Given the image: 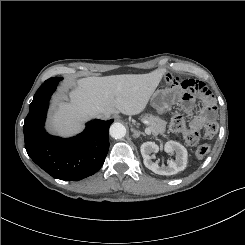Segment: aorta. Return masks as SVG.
<instances>
[{"instance_id": "obj_1", "label": "aorta", "mask_w": 245, "mask_h": 245, "mask_svg": "<svg viewBox=\"0 0 245 245\" xmlns=\"http://www.w3.org/2000/svg\"><path fill=\"white\" fill-rule=\"evenodd\" d=\"M109 134L112 138L120 139L125 136L126 128L123 124L116 122L110 126Z\"/></svg>"}]
</instances>
